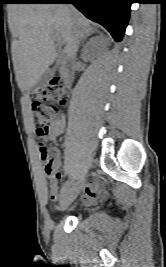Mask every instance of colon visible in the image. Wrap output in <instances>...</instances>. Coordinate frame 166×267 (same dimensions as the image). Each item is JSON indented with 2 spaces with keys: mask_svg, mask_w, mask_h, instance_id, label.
I'll use <instances>...</instances> for the list:
<instances>
[{
  "mask_svg": "<svg viewBox=\"0 0 166 267\" xmlns=\"http://www.w3.org/2000/svg\"><path fill=\"white\" fill-rule=\"evenodd\" d=\"M68 102L66 84L60 78H54L50 83L39 89L32 102V112L37 122V135L39 138V149L44 164V172L47 177L55 175L53 165V152L46 143V137L50 126L62 118L59 106Z\"/></svg>",
  "mask_w": 166,
  "mask_h": 267,
  "instance_id": "1",
  "label": "colon"
}]
</instances>
